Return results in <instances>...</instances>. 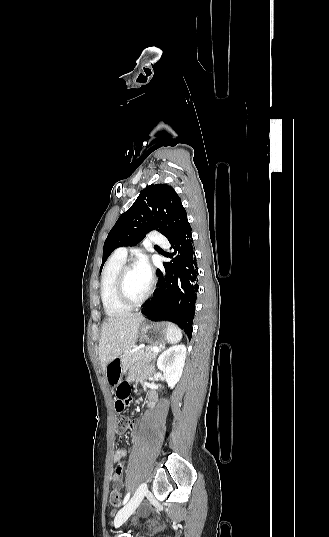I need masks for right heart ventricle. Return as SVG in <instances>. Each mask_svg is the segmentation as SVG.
I'll list each match as a JSON object with an SVG mask.
<instances>
[{"mask_svg": "<svg viewBox=\"0 0 329 537\" xmlns=\"http://www.w3.org/2000/svg\"><path fill=\"white\" fill-rule=\"evenodd\" d=\"M124 263L125 259L112 255L101 274L100 295L105 312L109 316L123 315L130 310L119 301L116 291L117 274Z\"/></svg>", "mask_w": 329, "mask_h": 537, "instance_id": "1", "label": "right heart ventricle"}]
</instances>
